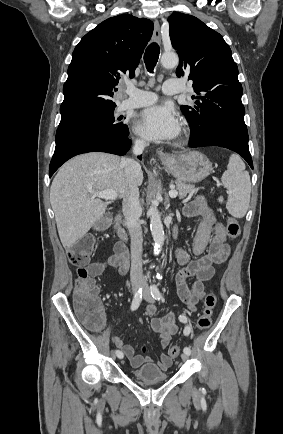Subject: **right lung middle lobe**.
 Here are the masks:
<instances>
[{
  "instance_id": "1",
  "label": "right lung middle lobe",
  "mask_w": 283,
  "mask_h": 434,
  "mask_svg": "<svg viewBox=\"0 0 283 434\" xmlns=\"http://www.w3.org/2000/svg\"><path fill=\"white\" fill-rule=\"evenodd\" d=\"M114 109L62 117L56 132V144L66 139L92 131H111L127 134V125L116 122ZM119 120V119H118Z\"/></svg>"
}]
</instances>
